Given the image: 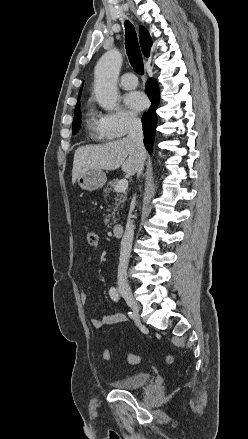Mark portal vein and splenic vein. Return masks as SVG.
<instances>
[{
	"instance_id": "18ae733b",
	"label": "portal vein and splenic vein",
	"mask_w": 248,
	"mask_h": 439,
	"mask_svg": "<svg viewBox=\"0 0 248 439\" xmlns=\"http://www.w3.org/2000/svg\"><path fill=\"white\" fill-rule=\"evenodd\" d=\"M128 188V180L121 179L114 187L116 192H125Z\"/></svg>"
}]
</instances>
